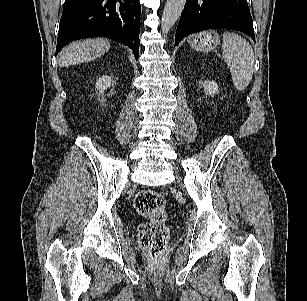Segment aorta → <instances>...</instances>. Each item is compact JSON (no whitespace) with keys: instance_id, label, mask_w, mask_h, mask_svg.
<instances>
[{"instance_id":"aorta-1","label":"aorta","mask_w":307,"mask_h":301,"mask_svg":"<svg viewBox=\"0 0 307 301\" xmlns=\"http://www.w3.org/2000/svg\"><path fill=\"white\" fill-rule=\"evenodd\" d=\"M186 0H167L161 18V30L164 34L174 26L179 19Z\"/></svg>"}]
</instances>
